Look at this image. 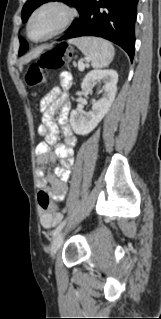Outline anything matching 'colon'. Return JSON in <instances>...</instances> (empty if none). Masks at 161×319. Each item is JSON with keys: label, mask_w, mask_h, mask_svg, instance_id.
<instances>
[{"label": "colon", "mask_w": 161, "mask_h": 319, "mask_svg": "<svg viewBox=\"0 0 161 319\" xmlns=\"http://www.w3.org/2000/svg\"><path fill=\"white\" fill-rule=\"evenodd\" d=\"M72 49L68 45L60 44L41 55L38 61L32 63L26 72V82L38 86L45 82L44 69L57 70L62 68L71 58ZM40 206L44 210L55 208L48 192L41 191L38 195Z\"/></svg>", "instance_id": "obj_1"}]
</instances>
